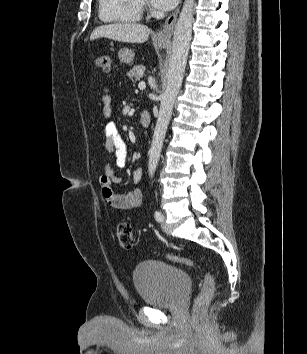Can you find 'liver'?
I'll return each mask as SVG.
<instances>
[{
  "label": "liver",
  "instance_id": "1",
  "mask_svg": "<svg viewBox=\"0 0 307 354\" xmlns=\"http://www.w3.org/2000/svg\"><path fill=\"white\" fill-rule=\"evenodd\" d=\"M150 29L136 23H114L95 28L90 40L108 38L125 43H144L148 40Z\"/></svg>",
  "mask_w": 307,
  "mask_h": 354
}]
</instances>
